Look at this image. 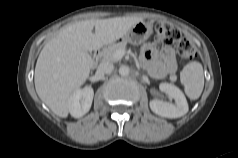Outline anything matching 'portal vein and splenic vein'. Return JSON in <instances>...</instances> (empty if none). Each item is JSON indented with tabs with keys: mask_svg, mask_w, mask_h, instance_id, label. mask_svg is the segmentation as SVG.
<instances>
[{
	"mask_svg": "<svg viewBox=\"0 0 238 158\" xmlns=\"http://www.w3.org/2000/svg\"><path fill=\"white\" fill-rule=\"evenodd\" d=\"M124 55H125L124 50H118L115 54V57L120 60Z\"/></svg>",
	"mask_w": 238,
	"mask_h": 158,
	"instance_id": "1",
	"label": "portal vein and splenic vein"
}]
</instances>
